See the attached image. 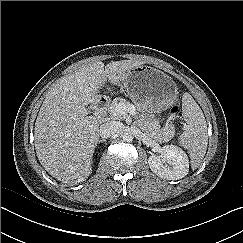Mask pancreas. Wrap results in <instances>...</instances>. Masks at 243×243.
Masks as SVG:
<instances>
[{
	"label": "pancreas",
	"mask_w": 243,
	"mask_h": 243,
	"mask_svg": "<svg viewBox=\"0 0 243 243\" xmlns=\"http://www.w3.org/2000/svg\"><path fill=\"white\" fill-rule=\"evenodd\" d=\"M124 103L125 105H129L130 103L123 98H115L110 107L109 112L112 113L114 108L119 104ZM137 110L141 112L142 120L144 121V127L146 134L153 138L158 142H167L174 136V129L172 127L161 128L158 120L149 116L145 113L142 108L137 107ZM115 118H122V116L118 115Z\"/></svg>",
	"instance_id": "cf45deb5"
}]
</instances>
